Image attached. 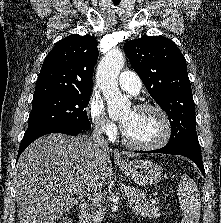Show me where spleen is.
<instances>
[{"label": "spleen", "instance_id": "3e777b00", "mask_svg": "<svg viewBox=\"0 0 221 223\" xmlns=\"http://www.w3.org/2000/svg\"><path fill=\"white\" fill-rule=\"evenodd\" d=\"M178 198L183 213L181 223H198L201 212L200 194L196 183L186 174L181 176Z\"/></svg>", "mask_w": 221, "mask_h": 223}]
</instances>
